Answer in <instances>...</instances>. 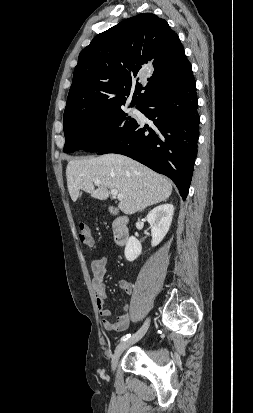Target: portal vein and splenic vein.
<instances>
[{"label":"portal vein and splenic vein","mask_w":253,"mask_h":413,"mask_svg":"<svg viewBox=\"0 0 253 413\" xmlns=\"http://www.w3.org/2000/svg\"><path fill=\"white\" fill-rule=\"evenodd\" d=\"M94 184L98 186V185L101 184V182H100L99 180H95V181H94ZM110 193L112 194V196L117 197L118 200H122V199H123V195L119 194L118 190H116V189H112V190L110 191Z\"/></svg>","instance_id":"portal-vein-and-splenic-vein-1"}]
</instances>
